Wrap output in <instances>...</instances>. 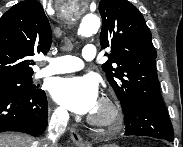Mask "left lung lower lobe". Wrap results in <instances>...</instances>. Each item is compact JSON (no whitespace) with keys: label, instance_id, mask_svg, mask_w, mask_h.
<instances>
[{"label":"left lung lower lobe","instance_id":"0a47b994","mask_svg":"<svg viewBox=\"0 0 183 147\" xmlns=\"http://www.w3.org/2000/svg\"><path fill=\"white\" fill-rule=\"evenodd\" d=\"M126 135L173 141L174 132L162 101L138 100L123 109Z\"/></svg>","mask_w":183,"mask_h":147}]
</instances>
